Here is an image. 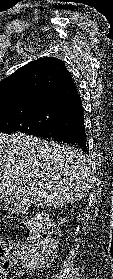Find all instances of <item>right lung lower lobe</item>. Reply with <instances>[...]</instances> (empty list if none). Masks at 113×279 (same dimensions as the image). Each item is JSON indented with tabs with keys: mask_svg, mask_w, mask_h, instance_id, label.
I'll use <instances>...</instances> for the list:
<instances>
[{
	"mask_svg": "<svg viewBox=\"0 0 113 279\" xmlns=\"http://www.w3.org/2000/svg\"><path fill=\"white\" fill-rule=\"evenodd\" d=\"M32 135L70 144L88 153L82 104L69 110L59 122L40 128Z\"/></svg>",
	"mask_w": 113,
	"mask_h": 279,
	"instance_id": "1",
	"label": "right lung lower lobe"
}]
</instances>
